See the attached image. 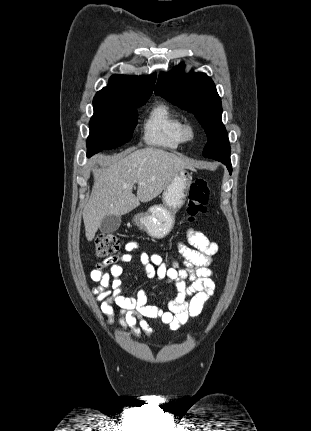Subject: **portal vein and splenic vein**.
<instances>
[{"mask_svg":"<svg viewBox=\"0 0 311 431\" xmlns=\"http://www.w3.org/2000/svg\"><path fill=\"white\" fill-rule=\"evenodd\" d=\"M134 184H137V180H134ZM139 184H143V182H139Z\"/></svg>","mask_w":311,"mask_h":431,"instance_id":"portal-vein-and-splenic-vein-1","label":"portal vein and splenic vein"}]
</instances>
